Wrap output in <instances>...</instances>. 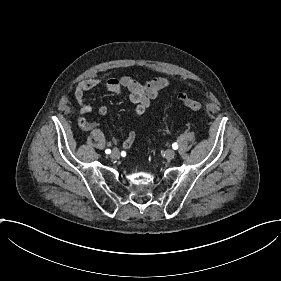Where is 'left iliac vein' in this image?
<instances>
[{
  "label": "left iliac vein",
  "instance_id": "1",
  "mask_svg": "<svg viewBox=\"0 0 281 281\" xmlns=\"http://www.w3.org/2000/svg\"><path fill=\"white\" fill-rule=\"evenodd\" d=\"M164 156L168 159H173L175 157V152L171 149H166L164 151Z\"/></svg>",
  "mask_w": 281,
  "mask_h": 281
}]
</instances>
